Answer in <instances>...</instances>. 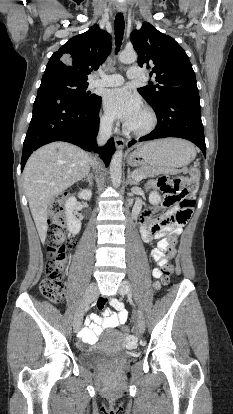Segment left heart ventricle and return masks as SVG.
Segmentation results:
<instances>
[{
	"label": "left heart ventricle",
	"mask_w": 233,
	"mask_h": 414,
	"mask_svg": "<svg viewBox=\"0 0 233 414\" xmlns=\"http://www.w3.org/2000/svg\"><path fill=\"white\" fill-rule=\"evenodd\" d=\"M147 122L146 115L141 112L129 125L135 128L143 127Z\"/></svg>",
	"instance_id": "1"
}]
</instances>
